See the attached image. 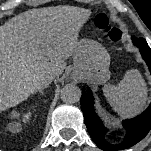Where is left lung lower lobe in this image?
<instances>
[{
	"mask_svg": "<svg viewBox=\"0 0 151 151\" xmlns=\"http://www.w3.org/2000/svg\"><path fill=\"white\" fill-rule=\"evenodd\" d=\"M132 42L139 49L151 72V49L143 38L132 37ZM81 109L87 129L99 148L106 151H117L130 148L142 140L151 129V104L139 116L122 122L125 137L120 141H112L107 137V128L95 109V101L90 89L82 91Z\"/></svg>",
	"mask_w": 151,
	"mask_h": 151,
	"instance_id": "0a47b994",
	"label": "left lung lower lobe"
}]
</instances>
